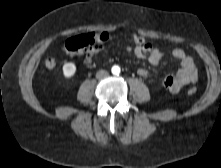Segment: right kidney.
<instances>
[{
    "instance_id": "1",
    "label": "right kidney",
    "mask_w": 221,
    "mask_h": 168,
    "mask_svg": "<svg viewBox=\"0 0 221 168\" xmlns=\"http://www.w3.org/2000/svg\"><path fill=\"white\" fill-rule=\"evenodd\" d=\"M63 75L66 78H71L76 72V65L74 63H65L62 68Z\"/></svg>"
}]
</instances>
